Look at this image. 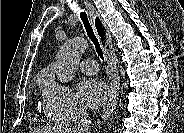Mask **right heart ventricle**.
<instances>
[{
    "label": "right heart ventricle",
    "instance_id": "right-heart-ventricle-1",
    "mask_svg": "<svg viewBox=\"0 0 184 133\" xmlns=\"http://www.w3.org/2000/svg\"><path fill=\"white\" fill-rule=\"evenodd\" d=\"M47 77V75L46 74H42L41 76H40V79H42V78H46ZM50 78H48L46 81H45V84L47 83V81L49 80Z\"/></svg>",
    "mask_w": 184,
    "mask_h": 133
}]
</instances>
